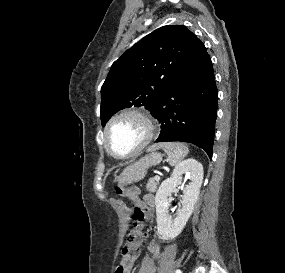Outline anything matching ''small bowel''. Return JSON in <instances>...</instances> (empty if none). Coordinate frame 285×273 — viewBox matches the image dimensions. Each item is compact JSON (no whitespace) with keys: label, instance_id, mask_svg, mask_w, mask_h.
Wrapping results in <instances>:
<instances>
[{"label":"small bowel","instance_id":"small-bowel-1","mask_svg":"<svg viewBox=\"0 0 285 273\" xmlns=\"http://www.w3.org/2000/svg\"><path fill=\"white\" fill-rule=\"evenodd\" d=\"M142 201H144V203H146L148 206V209L145 211L149 212V210L154 206L153 196L146 195L144 196ZM148 251H149L150 256H146L142 259L138 273H156L157 272L156 259H158L161 255L160 244L157 241H151L148 246Z\"/></svg>","mask_w":285,"mask_h":273}]
</instances>
